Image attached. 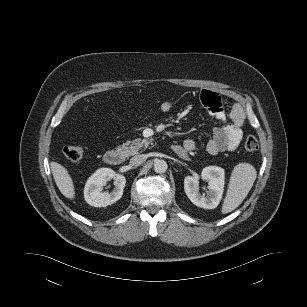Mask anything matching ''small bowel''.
<instances>
[{"label":"small bowel","mask_w":307,"mask_h":307,"mask_svg":"<svg viewBox=\"0 0 307 307\" xmlns=\"http://www.w3.org/2000/svg\"><path fill=\"white\" fill-rule=\"evenodd\" d=\"M201 101L210 115L221 122V126L217 127L212 134L211 139L206 145V150L211 155H216L224 151L235 150L243 136L242 125L245 121V112L240 103H233L229 119L227 122L223 109L222 99L215 93L203 91L201 93ZM174 105L171 101H164L161 104V110L169 113L173 110ZM197 147L193 139H187L182 146H175L174 151L180 156H186L194 151Z\"/></svg>","instance_id":"c3829d8e"}]
</instances>
